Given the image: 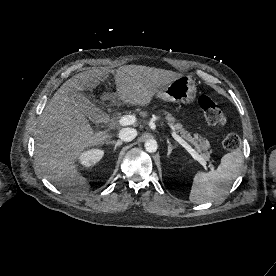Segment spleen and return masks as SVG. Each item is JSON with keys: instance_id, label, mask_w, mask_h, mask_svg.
I'll use <instances>...</instances> for the list:
<instances>
[{"instance_id": "1", "label": "spleen", "mask_w": 276, "mask_h": 276, "mask_svg": "<svg viewBox=\"0 0 276 276\" xmlns=\"http://www.w3.org/2000/svg\"><path fill=\"white\" fill-rule=\"evenodd\" d=\"M243 163L239 150L225 154L216 170L198 172L193 177L189 200L195 204L212 202L223 196L237 178Z\"/></svg>"}]
</instances>
